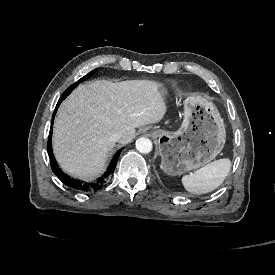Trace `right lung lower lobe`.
<instances>
[{"mask_svg":"<svg viewBox=\"0 0 275 275\" xmlns=\"http://www.w3.org/2000/svg\"><path fill=\"white\" fill-rule=\"evenodd\" d=\"M66 97H61L56 105V108L54 110L53 113V117H52V124H51V128H50V132H49V137H48V143H47V151H48V155L50 158V163H51V168L53 173L68 187L79 190V191H97L99 189H101L104 184L107 181V178L110 174H112L114 172V169L116 167V163L117 160L119 158V155L121 153V150H119L113 157L107 171L101 176L99 177L95 182L92 183H83L80 182L79 180L73 179L69 176H67L66 174H64L61 169L58 168L57 163L53 157L52 154V147H51V140H52V126H53V121H54V116L57 112V109L60 105V103L65 99Z\"/></svg>","mask_w":275,"mask_h":275,"instance_id":"right-lung-lower-lobe-1","label":"right lung lower lobe"}]
</instances>
